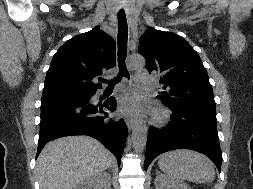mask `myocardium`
<instances>
[{"label":"myocardium","instance_id":"obj_1","mask_svg":"<svg viewBox=\"0 0 253 189\" xmlns=\"http://www.w3.org/2000/svg\"><path fill=\"white\" fill-rule=\"evenodd\" d=\"M169 119V113L166 110H159L154 116V121L157 124H164Z\"/></svg>","mask_w":253,"mask_h":189}]
</instances>
